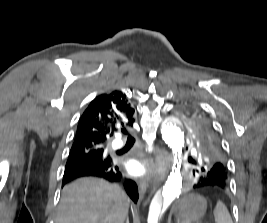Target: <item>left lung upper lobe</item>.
Listing matches in <instances>:
<instances>
[{"instance_id":"obj_1","label":"left lung upper lobe","mask_w":267,"mask_h":223,"mask_svg":"<svg viewBox=\"0 0 267 223\" xmlns=\"http://www.w3.org/2000/svg\"><path fill=\"white\" fill-rule=\"evenodd\" d=\"M179 114L198 150L197 157L190 160L194 171H228L226 155L209 117L189 103L182 104Z\"/></svg>"}]
</instances>
